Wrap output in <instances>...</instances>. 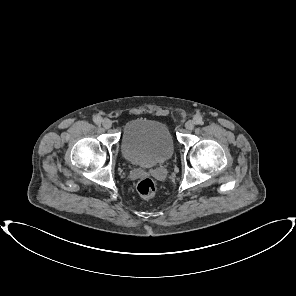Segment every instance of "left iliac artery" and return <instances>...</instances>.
Listing matches in <instances>:
<instances>
[{
  "label": "left iliac artery",
  "mask_w": 296,
  "mask_h": 296,
  "mask_svg": "<svg viewBox=\"0 0 296 296\" xmlns=\"http://www.w3.org/2000/svg\"><path fill=\"white\" fill-rule=\"evenodd\" d=\"M194 120H195V123L198 124V125H202L203 124V119H202L201 116H196L194 118Z\"/></svg>",
  "instance_id": "obj_1"
}]
</instances>
